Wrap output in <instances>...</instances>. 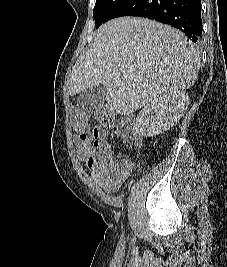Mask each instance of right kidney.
Instances as JSON below:
<instances>
[{"label": "right kidney", "mask_w": 227, "mask_h": 267, "mask_svg": "<svg viewBox=\"0 0 227 267\" xmlns=\"http://www.w3.org/2000/svg\"><path fill=\"white\" fill-rule=\"evenodd\" d=\"M188 103L185 91L169 92L152 100L136 118V133L144 137L164 133L180 120Z\"/></svg>", "instance_id": "right-kidney-1"}]
</instances>
